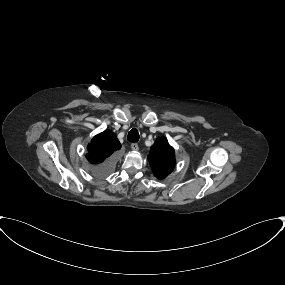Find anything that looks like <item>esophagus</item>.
Returning a JSON list of instances; mask_svg holds the SVG:
<instances>
[{"label": "esophagus", "instance_id": "1", "mask_svg": "<svg viewBox=\"0 0 285 285\" xmlns=\"http://www.w3.org/2000/svg\"><path fill=\"white\" fill-rule=\"evenodd\" d=\"M131 149H132L133 151H137V150L139 149L138 144H137V143H132V144H131Z\"/></svg>", "mask_w": 285, "mask_h": 285}]
</instances>
